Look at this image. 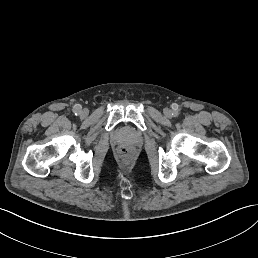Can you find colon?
Instances as JSON below:
<instances>
[{
	"label": "colon",
	"mask_w": 258,
	"mask_h": 258,
	"mask_svg": "<svg viewBox=\"0 0 258 258\" xmlns=\"http://www.w3.org/2000/svg\"><path fill=\"white\" fill-rule=\"evenodd\" d=\"M119 154L121 157L127 159L130 158L132 156V154L134 153L133 149L128 148V147H121L118 150Z\"/></svg>",
	"instance_id": "colon-1"
}]
</instances>
